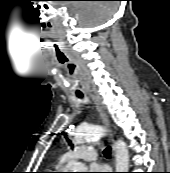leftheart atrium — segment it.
<instances>
[{"label":"left heart atrium","instance_id":"39dd6f15","mask_svg":"<svg viewBox=\"0 0 170 173\" xmlns=\"http://www.w3.org/2000/svg\"><path fill=\"white\" fill-rule=\"evenodd\" d=\"M90 173H105L106 167L100 164H93L89 167Z\"/></svg>","mask_w":170,"mask_h":173}]
</instances>
